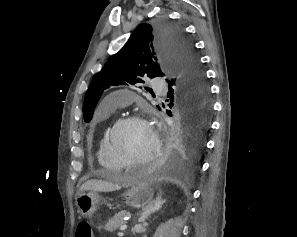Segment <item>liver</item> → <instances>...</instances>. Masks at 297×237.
<instances>
[{"label": "liver", "instance_id": "1", "mask_svg": "<svg viewBox=\"0 0 297 237\" xmlns=\"http://www.w3.org/2000/svg\"><path fill=\"white\" fill-rule=\"evenodd\" d=\"M121 186L118 184H113L110 182L102 180H88L82 184L80 190L83 191H94V192H112L115 190H120Z\"/></svg>", "mask_w": 297, "mask_h": 237}]
</instances>
